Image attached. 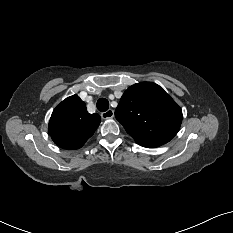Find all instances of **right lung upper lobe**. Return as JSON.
I'll return each instance as SVG.
<instances>
[{"mask_svg": "<svg viewBox=\"0 0 233 233\" xmlns=\"http://www.w3.org/2000/svg\"><path fill=\"white\" fill-rule=\"evenodd\" d=\"M101 122L98 114H89L85 103L73 95L63 100L53 111L48 132L59 147L81 148Z\"/></svg>", "mask_w": 233, "mask_h": 233, "instance_id": "cb5924a9", "label": "right lung upper lobe"}]
</instances>
